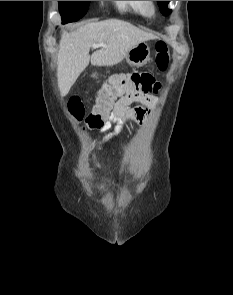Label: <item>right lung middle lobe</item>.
I'll use <instances>...</instances> for the list:
<instances>
[{
  "label": "right lung middle lobe",
  "mask_w": 233,
  "mask_h": 295,
  "mask_svg": "<svg viewBox=\"0 0 233 295\" xmlns=\"http://www.w3.org/2000/svg\"><path fill=\"white\" fill-rule=\"evenodd\" d=\"M62 23L80 19L88 10L90 1H58Z\"/></svg>",
  "instance_id": "obj_1"
}]
</instances>
